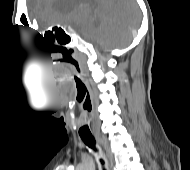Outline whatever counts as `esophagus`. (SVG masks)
<instances>
[{"mask_svg": "<svg viewBox=\"0 0 190 170\" xmlns=\"http://www.w3.org/2000/svg\"><path fill=\"white\" fill-rule=\"evenodd\" d=\"M97 141L104 148V157H105V160L107 162L108 170H114V159H113L111 152L109 151V149L106 147L103 140L99 136L97 137Z\"/></svg>", "mask_w": 190, "mask_h": 170, "instance_id": "1", "label": "esophagus"}]
</instances>
